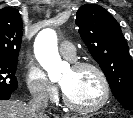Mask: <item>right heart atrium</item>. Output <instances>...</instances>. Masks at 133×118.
<instances>
[{"mask_svg": "<svg viewBox=\"0 0 133 118\" xmlns=\"http://www.w3.org/2000/svg\"><path fill=\"white\" fill-rule=\"evenodd\" d=\"M26 83L30 93L39 99L53 100L57 88L48 78L45 71L36 64H30L26 73Z\"/></svg>", "mask_w": 133, "mask_h": 118, "instance_id": "right-heart-atrium-1", "label": "right heart atrium"}]
</instances>
